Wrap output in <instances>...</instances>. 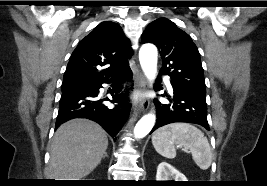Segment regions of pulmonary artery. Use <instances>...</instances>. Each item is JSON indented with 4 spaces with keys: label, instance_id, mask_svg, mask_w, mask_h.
<instances>
[{
    "label": "pulmonary artery",
    "instance_id": "obj_1",
    "mask_svg": "<svg viewBox=\"0 0 267 186\" xmlns=\"http://www.w3.org/2000/svg\"><path fill=\"white\" fill-rule=\"evenodd\" d=\"M166 86L168 87L169 90H172V86L169 81H166Z\"/></svg>",
    "mask_w": 267,
    "mask_h": 186
}]
</instances>
